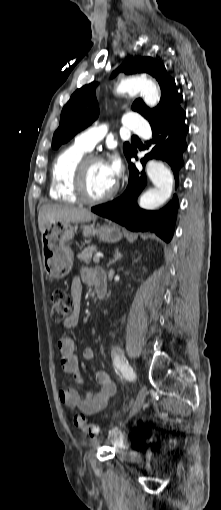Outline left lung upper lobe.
<instances>
[{
  "label": "left lung upper lobe",
  "mask_w": 221,
  "mask_h": 510,
  "mask_svg": "<svg viewBox=\"0 0 221 510\" xmlns=\"http://www.w3.org/2000/svg\"><path fill=\"white\" fill-rule=\"evenodd\" d=\"M124 71L126 74L148 73L158 81L161 88L159 105L149 109L142 99H136L132 110L140 113L149 123L162 120L170 115L183 112L180 102L183 97L176 91L174 79L168 76L164 65L150 57L131 58L113 73ZM96 83H90L76 90L68 103L63 107L60 125L55 131L52 147L57 149L61 144L68 142L75 134L88 127L99 115V105L96 98ZM136 148L128 142L124 144V153L128 158Z\"/></svg>",
  "instance_id": "5c2ea615"
}]
</instances>
